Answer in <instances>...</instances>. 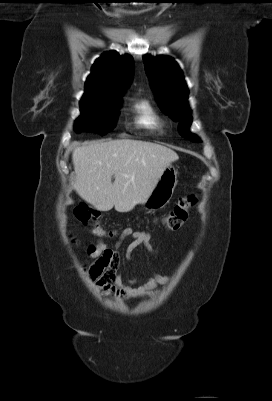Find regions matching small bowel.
<instances>
[{"instance_id":"1","label":"small bowel","mask_w":272,"mask_h":401,"mask_svg":"<svg viewBox=\"0 0 272 401\" xmlns=\"http://www.w3.org/2000/svg\"><path fill=\"white\" fill-rule=\"evenodd\" d=\"M126 238L132 239L126 253V259H130L132 253L139 248H144L151 253L154 252L150 245V235L147 232L125 227L115 245L108 246L103 242H97L88 247L87 254L92 261L85 264V270L90 278L97 282L100 289L112 296L140 298L153 295L156 293V286L167 284L170 278L165 275L154 274L143 284L136 287L133 286L135 284L134 279L125 280L119 271L120 257L117 250Z\"/></svg>"}]
</instances>
